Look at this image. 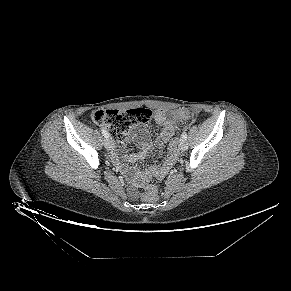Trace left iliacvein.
<instances>
[{"label":"left iliac vein","mask_w":291,"mask_h":291,"mask_svg":"<svg viewBox=\"0 0 291 291\" xmlns=\"http://www.w3.org/2000/svg\"><path fill=\"white\" fill-rule=\"evenodd\" d=\"M178 146L181 151H186L188 148L187 142L185 140H180Z\"/></svg>","instance_id":"left-iliac-vein-1"}]
</instances>
